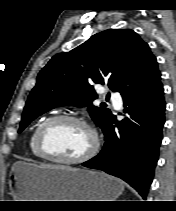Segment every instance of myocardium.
Returning a JSON list of instances; mask_svg holds the SVG:
<instances>
[{
	"label": "myocardium",
	"mask_w": 176,
	"mask_h": 211,
	"mask_svg": "<svg viewBox=\"0 0 176 211\" xmlns=\"http://www.w3.org/2000/svg\"><path fill=\"white\" fill-rule=\"evenodd\" d=\"M58 121L74 122L76 124L82 125L89 131V133L91 134V137H92V144L86 153H84L83 155H81L79 157L69 159V158L57 156V155L51 153L45 147V144L43 141L44 131L46 130V128L49 125H51L55 122H58ZM99 146H100V138H99V135H98V132L96 131V129L85 119L75 116V115H71V114H57V115H54V116H51V117L45 119L44 121H42L39 124V126L36 130V134H35V147H36V150L38 151V153L45 159L59 162V163H64V164H80V163H83V162L89 160L97 153Z\"/></svg>",
	"instance_id": "f54148a6"
}]
</instances>
